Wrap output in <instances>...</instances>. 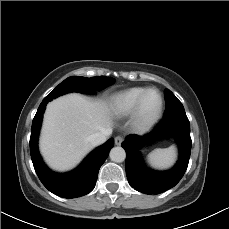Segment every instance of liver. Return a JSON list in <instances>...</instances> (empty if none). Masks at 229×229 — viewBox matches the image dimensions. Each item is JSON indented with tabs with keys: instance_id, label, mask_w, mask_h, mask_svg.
<instances>
[{
	"instance_id": "6515ba94",
	"label": "liver",
	"mask_w": 229,
	"mask_h": 229,
	"mask_svg": "<svg viewBox=\"0 0 229 229\" xmlns=\"http://www.w3.org/2000/svg\"><path fill=\"white\" fill-rule=\"evenodd\" d=\"M112 125L111 105L79 94L48 103L40 150L48 165L65 171L77 165L93 148L89 136Z\"/></svg>"
}]
</instances>
